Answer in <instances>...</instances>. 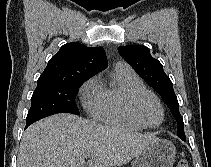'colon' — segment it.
<instances>
[{
    "label": "colon",
    "instance_id": "colon-1",
    "mask_svg": "<svg viewBox=\"0 0 211 167\" xmlns=\"http://www.w3.org/2000/svg\"><path fill=\"white\" fill-rule=\"evenodd\" d=\"M176 167H189V164L186 160H181L177 163Z\"/></svg>",
    "mask_w": 211,
    "mask_h": 167
}]
</instances>
